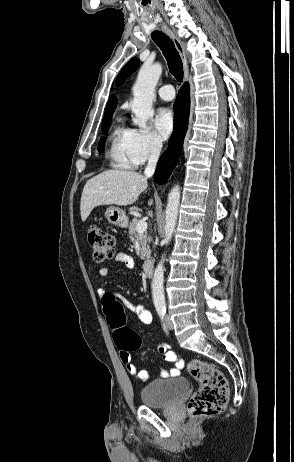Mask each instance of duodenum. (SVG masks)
<instances>
[{
  "mask_svg": "<svg viewBox=\"0 0 294 462\" xmlns=\"http://www.w3.org/2000/svg\"><path fill=\"white\" fill-rule=\"evenodd\" d=\"M143 270L147 276H151L154 271V262L151 259H146L143 263Z\"/></svg>",
  "mask_w": 294,
  "mask_h": 462,
  "instance_id": "410a0bca",
  "label": "duodenum"
}]
</instances>
